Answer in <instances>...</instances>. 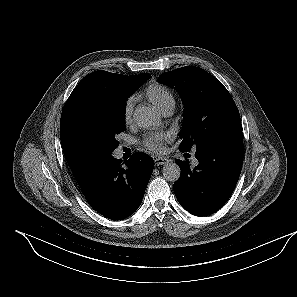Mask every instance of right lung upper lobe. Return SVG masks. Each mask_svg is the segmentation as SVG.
I'll return each mask as SVG.
<instances>
[{"mask_svg": "<svg viewBox=\"0 0 297 297\" xmlns=\"http://www.w3.org/2000/svg\"><path fill=\"white\" fill-rule=\"evenodd\" d=\"M150 77L145 73L126 76L99 70L87 75L72 91L62 111L60 135L65 158L79 186L85 182L94 167L88 165L70 148L66 136V121L83 104L115 102L128 85L146 81Z\"/></svg>", "mask_w": 297, "mask_h": 297, "instance_id": "obj_1", "label": "right lung upper lobe"}]
</instances>
